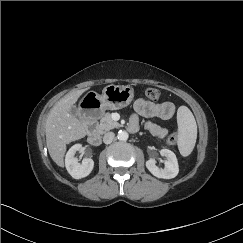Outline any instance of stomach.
<instances>
[{
  "label": "stomach",
  "mask_w": 243,
  "mask_h": 243,
  "mask_svg": "<svg viewBox=\"0 0 243 243\" xmlns=\"http://www.w3.org/2000/svg\"><path fill=\"white\" fill-rule=\"evenodd\" d=\"M133 98L134 90L132 87L111 84L103 89L101 95L93 91L88 92L81 103L88 100L91 103V107L97 108L102 112L106 109H122L128 106Z\"/></svg>",
  "instance_id": "stomach-1"
}]
</instances>
